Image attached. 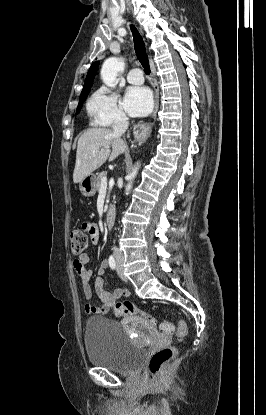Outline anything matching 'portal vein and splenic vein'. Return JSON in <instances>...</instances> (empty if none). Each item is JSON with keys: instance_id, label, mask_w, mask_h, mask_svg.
<instances>
[{"instance_id": "1", "label": "portal vein and splenic vein", "mask_w": 266, "mask_h": 415, "mask_svg": "<svg viewBox=\"0 0 266 415\" xmlns=\"http://www.w3.org/2000/svg\"><path fill=\"white\" fill-rule=\"evenodd\" d=\"M101 188L106 189L107 188V178L103 177L101 179Z\"/></svg>"}]
</instances>
